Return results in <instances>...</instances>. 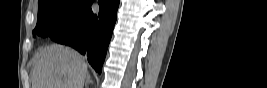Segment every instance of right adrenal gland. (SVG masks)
Returning a JSON list of instances; mask_svg holds the SVG:
<instances>
[{
	"label": "right adrenal gland",
	"mask_w": 267,
	"mask_h": 88,
	"mask_svg": "<svg viewBox=\"0 0 267 88\" xmlns=\"http://www.w3.org/2000/svg\"><path fill=\"white\" fill-rule=\"evenodd\" d=\"M90 83H93V80L91 79L90 74L87 73V74H86L85 88H88V85H89Z\"/></svg>",
	"instance_id": "1"
}]
</instances>
